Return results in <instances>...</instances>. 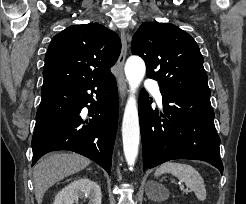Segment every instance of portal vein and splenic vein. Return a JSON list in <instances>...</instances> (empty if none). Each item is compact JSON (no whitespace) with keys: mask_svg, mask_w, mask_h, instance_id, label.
<instances>
[{"mask_svg":"<svg viewBox=\"0 0 246 204\" xmlns=\"http://www.w3.org/2000/svg\"><path fill=\"white\" fill-rule=\"evenodd\" d=\"M180 189L183 190V191H187L188 192V189H184L183 185H180Z\"/></svg>","mask_w":246,"mask_h":204,"instance_id":"1","label":"portal vein and splenic vein"}]
</instances>
